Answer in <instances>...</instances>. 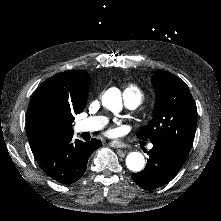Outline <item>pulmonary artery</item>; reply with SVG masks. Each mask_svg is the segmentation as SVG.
Instances as JSON below:
<instances>
[{
    "mask_svg": "<svg viewBox=\"0 0 221 221\" xmlns=\"http://www.w3.org/2000/svg\"><path fill=\"white\" fill-rule=\"evenodd\" d=\"M88 124H92L95 129H101L106 124V118L105 117H92V118L83 120L79 123L80 131L86 130V126Z\"/></svg>",
    "mask_w": 221,
    "mask_h": 221,
    "instance_id": "1",
    "label": "pulmonary artery"
}]
</instances>
